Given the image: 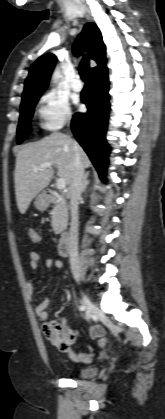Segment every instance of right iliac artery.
I'll return each instance as SVG.
<instances>
[{
  "label": "right iliac artery",
  "instance_id": "right-iliac-artery-1",
  "mask_svg": "<svg viewBox=\"0 0 165 419\" xmlns=\"http://www.w3.org/2000/svg\"><path fill=\"white\" fill-rule=\"evenodd\" d=\"M79 310L80 311H84L85 310V307L83 305H81V306H79Z\"/></svg>",
  "mask_w": 165,
  "mask_h": 419
}]
</instances>
